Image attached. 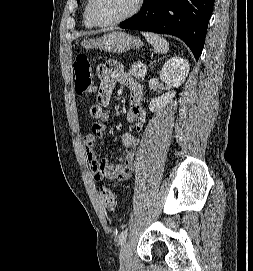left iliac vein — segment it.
I'll use <instances>...</instances> for the list:
<instances>
[{"mask_svg": "<svg viewBox=\"0 0 253 271\" xmlns=\"http://www.w3.org/2000/svg\"><path fill=\"white\" fill-rule=\"evenodd\" d=\"M120 264L123 268H129L132 264V248L129 242L123 244L120 252Z\"/></svg>", "mask_w": 253, "mask_h": 271, "instance_id": "1", "label": "left iliac vein"}]
</instances>
